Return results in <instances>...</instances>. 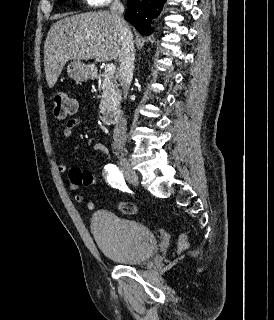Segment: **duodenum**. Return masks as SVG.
<instances>
[{
	"label": "duodenum",
	"instance_id": "410a0bca",
	"mask_svg": "<svg viewBox=\"0 0 274 320\" xmlns=\"http://www.w3.org/2000/svg\"><path fill=\"white\" fill-rule=\"evenodd\" d=\"M99 115L103 123L114 124L119 121L121 111L118 107L104 108L100 111Z\"/></svg>",
	"mask_w": 274,
	"mask_h": 320
}]
</instances>
